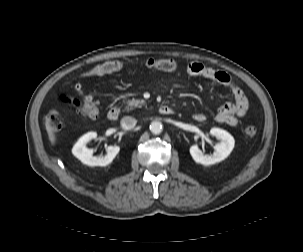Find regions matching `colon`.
<instances>
[{"label": "colon", "mask_w": 303, "mask_h": 252, "mask_svg": "<svg viewBox=\"0 0 303 252\" xmlns=\"http://www.w3.org/2000/svg\"><path fill=\"white\" fill-rule=\"evenodd\" d=\"M141 65L149 69L167 72H176L179 68L178 63L170 59H148L142 62ZM124 67L125 64L119 60L106 61L104 63L95 65L93 68L85 72L83 76L112 74L121 71ZM56 104L61 108L72 109L89 117H95L98 113L97 103L90 95L84 96L83 100L81 101L67 94H60L56 98ZM46 121L54 131L61 130L62 123L57 117V112L55 110L51 109L48 111ZM256 133L257 128L254 125H248L244 129V135L247 138L254 137Z\"/></svg>", "instance_id": "1"}]
</instances>
